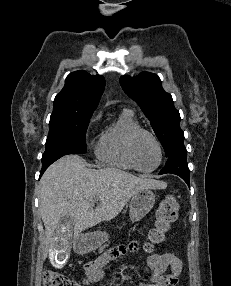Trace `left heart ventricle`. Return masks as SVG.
Listing matches in <instances>:
<instances>
[{
	"mask_svg": "<svg viewBox=\"0 0 231 286\" xmlns=\"http://www.w3.org/2000/svg\"><path fill=\"white\" fill-rule=\"evenodd\" d=\"M134 155L137 164L145 170L152 169L159 160L156 144L148 135H140L134 144Z\"/></svg>",
	"mask_w": 231,
	"mask_h": 286,
	"instance_id": "obj_1",
	"label": "left heart ventricle"
}]
</instances>
